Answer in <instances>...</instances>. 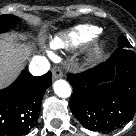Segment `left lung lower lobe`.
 <instances>
[{"mask_svg":"<svg viewBox=\"0 0 136 136\" xmlns=\"http://www.w3.org/2000/svg\"><path fill=\"white\" fill-rule=\"evenodd\" d=\"M70 108L77 120L95 131H111L136 112V55L119 48L104 63L69 75Z\"/></svg>","mask_w":136,"mask_h":136,"instance_id":"left-lung-lower-lobe-1","label":"left lung lower lobe"}]
</instances>
